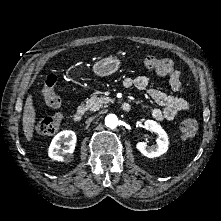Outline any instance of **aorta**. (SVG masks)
<instances>
[{
  "instance_id": "obj_1",
  "label": "aorta",
  "mask_w": 221,
  "mask_h": 221,
  "mask_svg": "<svg viewBox=\"0 0 221 221\" xmlns=\"http://www.w3.org/2000/svg\"><path fill=\"white\" fill-rule=\"evenodd\" d=\"M119 120L115 114H109L105 117V125L108 128L114 129L118 126Z\"/></svg>"
}]
</instances>
